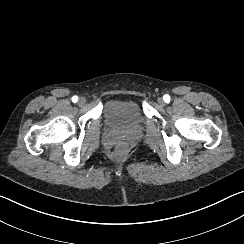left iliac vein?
Masks as SVG:
<instances>
[{
	"instance_id": "4c4485c4",
	"label": "left iliac vein",
	"mask_w": 244,
	"mask_h": 244,
	"mask_svg": "<svg viewBox=\"0 0 244 244\" xmlns=\"http://www.w3.org/2000/svg\"><path fill=\"white\" fill-rule=\"evenodd\" d=\"M158 104L160 105V106H164L165 105V101H164V99L163 98H158Z\"/></svg>"
}]
</instances>
